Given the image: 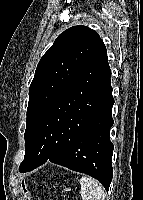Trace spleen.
I'll list each match as a JSON object with an SVG mask.
<instances>
[{
	"mask_svg": "<svg viewBox=\"0 0 143 200\" xmlns=\"http://www.w3.org/2000/svg\"><path fill=\"white\" fill-rule=\"evenodd\" d=\"M82 200H105L104 187L92 177L83 176L80 179Z\"/></svg>",
	"mask_w": 143,
	"mask_h": 200,
	"instance_id": "obj_1",
	"label": "spleen"
}]
</instances>
